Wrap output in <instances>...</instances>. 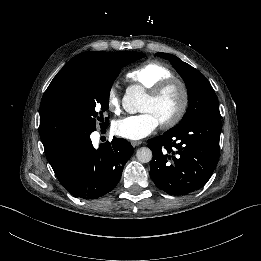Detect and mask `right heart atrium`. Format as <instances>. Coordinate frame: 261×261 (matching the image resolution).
Masks as SVG:
<instances>
[{"label": "right heart atrium", "mask_w": 261, "mask_h": 261, "mask_svg": "<svg viewBox=\"0 0 261 261\" xmlns=\"http://www.w3.org/2000/svg\"><path fill=\"white\" fill-rule=\"evenodd\" d=\"M107 107L115 113H119L121 110L120 96L115 87L110 88V90L108 91Z\"/></svg>", "instance_id": "right-heart-atrium-1"}]
</instances>
